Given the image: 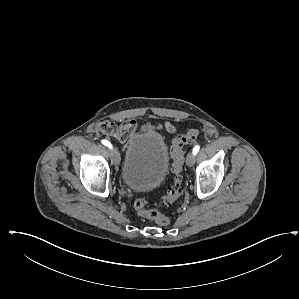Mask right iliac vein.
Returning a JSON list of instances; mask_svg holds the SVG:
<instances>
[{"mask_svg":"<svg viewBox=\"0 0 299 299\" xmlns=\"http://www.w3.org/2000/svg\"><path fill=\"white\" fill-rule=\"evenodd\" d=\"M111 160H112V163L118 167L119 163H120V155H119V152L117 151L116 148H114L111 152Z\"/></svg>","mask_w":299,"mask_h":299,"instance_id":"63e3f726","label":"right iliac vein"}]
</instances>
